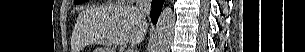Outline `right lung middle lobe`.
Instances as JSON below:
<instances>
[{"mask_svg":"<svg viewBox=\"0 0 305 52\" xmlns=\"http://www.w3.org/2000/svg\"><path fill=\"white\" fill-rule=\"evenodd\" d=\"M86 1H88V0H77V1H75V3L79 4V3L86 2Z\"/></svg>","mask_w":305,"mask_h":52,"instance_id":"dd1d6c3e","label":"right lung middle lobe"}]
</instances>
